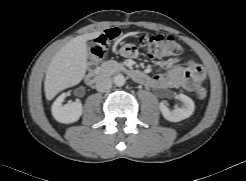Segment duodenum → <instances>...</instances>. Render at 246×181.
<instances>
[{
	"label": "duodenum",
	"instance_id": "410a0bca",
	"mask_svg": "<svg viewBox=\"0 0 246 181\" xmlns=\"http://www.w3.org/2000/svg\"><path fill=\"white\" fill-rule=\"evenodd\" d=\"M123 73H126L129 75L133 80H135L138 83H145L148 80L147 75L144 73L137 71V70H131L127 67H121L120 69ZM106 79V71L105 70H94L91 71L87 77L86 82L90 86H101L104 84Z\"/></svg>",
	"mask_w": 246,
	"mask_h": 181
}]
</instances>
